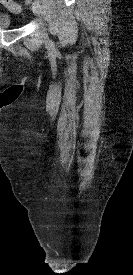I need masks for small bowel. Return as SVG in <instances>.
Segmentation results:
<instances>
[{
    "label": "small bowel",
    "mask_w": 133,
    "mask_h": 275,
    "mask_svg": "<svg viewBox=\"0 0 133 275\" xmlns=\"http://www.w3.org/2000/svg\"><path fill=\"white\" fill-rule=\"evenodd\" d=\"M10 1L12 0H0V2H2L4 5H6L8 7Z\"/></svg>",
    "instance_id": "c3829d8e"
}]
</instances>
